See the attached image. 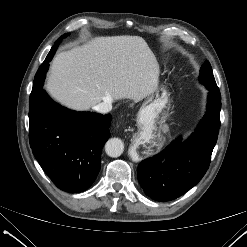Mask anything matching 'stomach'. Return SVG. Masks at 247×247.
<instances>
[{
	"label": "stomach",
	"instance_id": "obj_1",
	"mask_svg": "<svg viewBox=\"0 0 247 247\" xmlns=\"http://www.w3.org/2000/svg\"><path fill=\"white\" fill-rule=\"evenodd\" d=\"M171 107L170 92L165 86L157 88L148 96L138 112V124L142 129L162 124L169 116Z\"/></svg>",
	"mask_w": 247,
	"mask_h": 247
}]
</instances>
